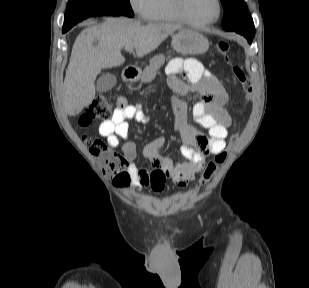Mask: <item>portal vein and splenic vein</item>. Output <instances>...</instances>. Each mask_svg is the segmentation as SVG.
I'll return each instance as SVG.
<instances>
[{
    "label": "portal vein and splenic vein",
    "mask_w": 309,
    "mask_h": 288,
    "mask_svg": "<svg viewBox=\"0 0 309 288\" xmlns=\"http://www.w3.org/2000/svg\"><path fill=\"white\" fill-rule=\"evenodd\" d=\"M133 49H134V47H132V46L125 47V50L128 51V52H132Z\"/></svg>",
    "instance_id": "18ae733b"
}]
</instances>
